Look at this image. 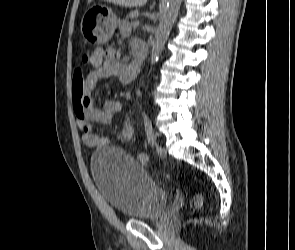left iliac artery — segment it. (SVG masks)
I'll return each mask as SVG.
<instances>
[{
    "label": "left iliac artery",
    "instance_id": "obj_1",
    "mask_svg": "<svg viewBox=\"0 0 295 250\" xmlns=\"http://www.w3.org/2000/svg\"><path fill=\"white\" fill-rule=\"evenodd\" d=\"M142 115H143L144 128H145L147 140L150 143V145L153 147L155 144V134L152 128L151 121L148 115L145 113V111L143 112Z\"/></svg>",
    "mask_w": 295,
    "mask_h": 250
}]
</instances>
